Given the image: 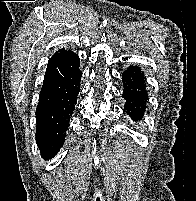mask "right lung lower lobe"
I'll return each mask as SVG.
<instances>
[{"mask_svg":"<svg viewBox=\"0 0 196 201\" xmlns=\"http://www.w3.org/2000/svg\"><path fill=\"white\" fill-rule=\"evenodd\" d=\"M79 62V57L70 53L54 54L48 62L36 109V142L46 160L64 144L80 91Z\"/></svg>","mask_w":196,"mask_h":201,"instance_id":"right-lung-lower-lobe-1","label":"right lung lower lobe"}]
</instances>
